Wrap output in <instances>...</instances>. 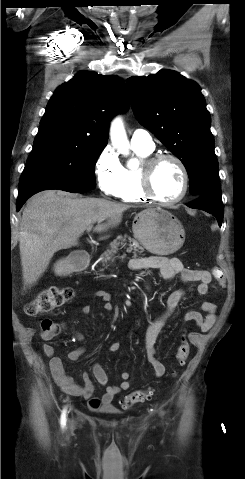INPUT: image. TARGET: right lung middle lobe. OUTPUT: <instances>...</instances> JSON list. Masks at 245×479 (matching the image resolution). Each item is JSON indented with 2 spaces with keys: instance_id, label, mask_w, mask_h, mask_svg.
Segmentation results:
<instances>
[{
  "instance_id": "right-lung-middle-lobe-1",
  "label": "right lung middle lobe",
  "mask_w": 245,
  "mask_h": 479,
  "mask_svg": "<svg viewBox=\"0 0 245 479\" xmlns=\"http://www.w3.org/2000/svg\"><path fill=\"white\" fill-rule=\"evenodd\" d=\"M105 146L64 130H39L19 181L53 180L94 189L95 164Z\"/></svg>"
}]
</instances>
